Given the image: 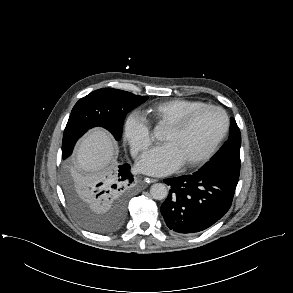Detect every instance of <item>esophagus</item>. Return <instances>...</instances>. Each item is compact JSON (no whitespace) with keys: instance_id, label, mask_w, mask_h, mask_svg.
Instances as JSON below:
<instances>
[{"instance_id":"obj_1","label":"esophagus","mask_w":293,"mask_h":293,"mask_svg":"<svg viewBox=\"0 0 293 293\" xmlns=\"http://www.w3.org/2000/svg\"><path fill=\"white\" fill-rule=\"evenodd\" d=\"M145 180H148L151 183H155L158 181V179H155V178H145Z\"/></svg>"}]
</instances>
